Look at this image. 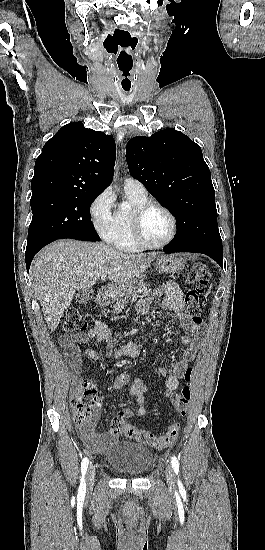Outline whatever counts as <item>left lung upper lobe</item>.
Returning <instances> with one entry per match:
<instances>
[{
  "label": "left lung upper lobe",
  "instance_id": "left-lung-upper-lobe-1",
  "mask_svg": "<svg viewBox=\"0 0 265 550\" xmlns=\"http://www.w3.org/2000/svg\"><path fill=\"white\" fill-rule=\"evenodd\" d=\"M126 158L132 177L175 216L177 233L171 244L223 255L215 191L200 146L168 128L131 139Z\"/></svg>",
  "mask_w": 265,
  "mask_h": 550
}]
</instances>
